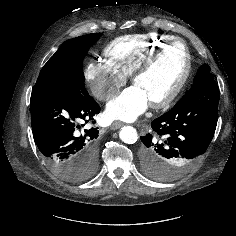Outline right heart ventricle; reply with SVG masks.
<instances>
[{
	"mask_svg": "<svg viewBox=\"0 0 236 236\" xmlns=\"http://www.w3.org/2000/svg\"><path fill=\"white\" fill-rule=\"evenodd\" d=\"M172 39V35L162 33L122 36L111 41L104 54L107 61L126 76L157 47Z\"/></svg>",
	"mask_w": 236,
	"mask_h": 236,
	"instance_id": "obj_1",
	"label": "right heart ventricle"
}]
</instances>
